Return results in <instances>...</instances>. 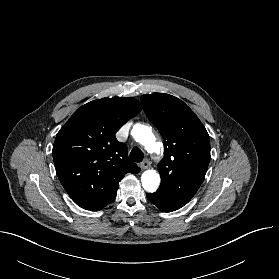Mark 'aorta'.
<instances>
[{
  "label": "aorta",
  "mask_w": 279,
  "mask_h": 279,
  "mask_svg": "<svg viewBox=\"0 0 279 279\" xmlns=\"http://www.w3.org/2000/svg\"><path fill=\"white\" fill-rule=\"evenodd\" d=\"M132 135L148 151H153L156 147L155 137L150 127L137 124L133 127ZM141 182L147 192H155L160 185V175L155 170H147L142 174Z\"/></svg>",
  "instance_id": "1"
}]
</instances>
